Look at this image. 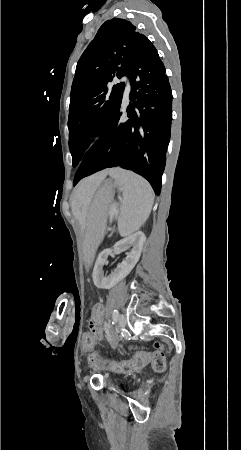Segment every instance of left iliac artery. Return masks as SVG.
<instances>
[{"instance_id":"obj_1","label":"left iliac artery","mask_w":241,"mask_h":450,"mask_svg":"<svg viewBox=\"0 0 241 450\" xmlns=\"http://www.w3.org/2000/svg\"><path fill=\"white\" fill-rule=\"evenodd\" d=\"M118 316H119V313H118V311L115 309V310L113 311V321H112V324H115V323L117 322Z\"/></svg>"}]
</instances>
